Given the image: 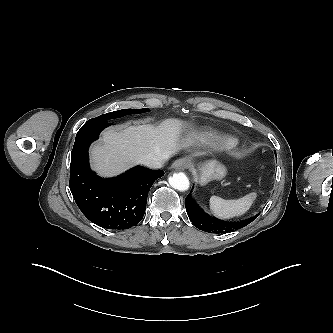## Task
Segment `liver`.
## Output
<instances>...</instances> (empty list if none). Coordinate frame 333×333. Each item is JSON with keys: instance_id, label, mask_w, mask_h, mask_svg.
I'll return each instance as SVG.
<instances>
[{"instance_id": "liver-1", "label": "liver", "mask_w": 333, "mask_h": 333, "mask_svg": "<svg viewBox=\"0 0 333 333\" xmlns=\"http://www.w3.org/2000/svg\"><path fill=\"white\" fill-rule=\"evenodd\" d=\"M183 121L170 118L157 126H130L124 130L107 129L102 143L90 150L92 167L100 175H118L144 158H168L181 149Z\"/></svg>"}]
</instances>
